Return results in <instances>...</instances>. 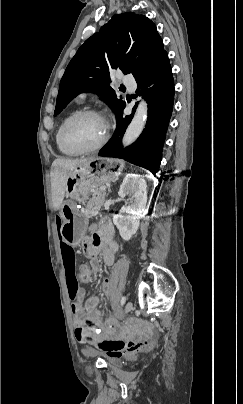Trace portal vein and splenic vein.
Wrapping results in <instances>:
<instances>
[{
    "label": "portal vein and splenic vein",
    "instance_id": "portal-vein-and-splenic-vein-1",
    "mask_svg": "<svg viewBox=\"0 0 243 404\" xmlns=\"http://www.w3.org/2000/svg\"><path fill=\"white\" fill-rule=\"evenodd\" d=\"M99 190H106V186H102V188H99Z\"/></svg>",
    "mask_w": 243,
    "mask_h": 404
}]
</instances>
